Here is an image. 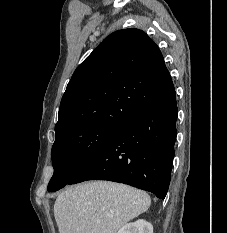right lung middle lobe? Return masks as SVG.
<instances>
[{
	"label": "right lung middle lobe",
	"mask_w": 227,
	"mask_h": 233,
	"mask_svg": "<svg viewBox=\"0 0 227 233\" xmlns=\"http://www.w3.org/2000/svg\"><path fill=\"white\" fill-rule=\"evenodd\" d=\"M117 129L92 125L76 127L56 135L51 151L54 174L48 184V191H57L66 186Z\"/></svg>",
	"instance_id": "obj_1"
}]
</instances>
